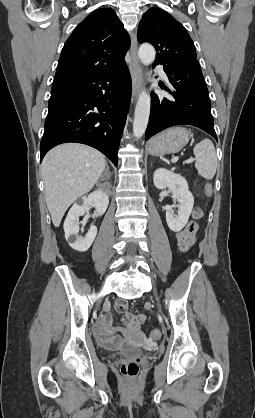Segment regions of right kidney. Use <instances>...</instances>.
Returning <instances> with one entry per match:
<instances>
[{
  "label": "right kidney",
  "instance_id": "obj_1",
  "mask_svg": "<svg viewBox=\"0 0 255 418\" xmlns=\"http://www.w3.org/2000/svg\"><path fill=\"white\" fill-rule=\"evenodd\" d=\"M108 204V195L100 189L82 197L70 208L64 222V231L67 242L74 250L87 251L97 235L96 226L91 225L86 236H80L79 217L88 212L90 206H95L97 216H101L105 213Z\"/></svg>",
  "mask_w": 255,
  "mask_h": 418
}]
</instances>
